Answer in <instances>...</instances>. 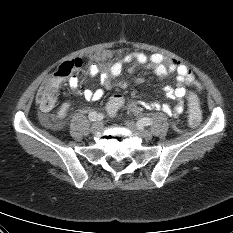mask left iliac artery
<instances>
[{"label":"left iliac artery","instance_id":"1","mask_svg":"<svg viewBox=\"0 0 233 233\" xmlns=\"http://www.w3.org/2000/svg\"><path fill=\"white\" fill-rule=\"evenodd\" d=\"M141 123H143V125H145V126H149V125L152 124V119H151V118L145 117V118H143V119L141 120Z\"/></svg>","mask_w":233,"mask_h":233}]
</instances>
